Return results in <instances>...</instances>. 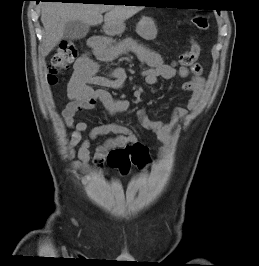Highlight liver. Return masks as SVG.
<instances>
[{"mask_svg": "<svg viewBox=\"0 0 259 266\" xmlns=\"http://www.w3.org/2000/svg\"><path fill=\"white\" fill-rule=\"evenodd\" d=\"M142 9V6L46 2L41 6L45 30L42 54L47 56L54 49L63 37L65 25L72 20L95 26L103 22L102 13L106 12L104 29L107 31L108 27L123 23Z\"/></svg>", "mask_w": 259, "mask_h": 266, "instance_id": "6515ba94", "label": "liver"}]
</instances>
